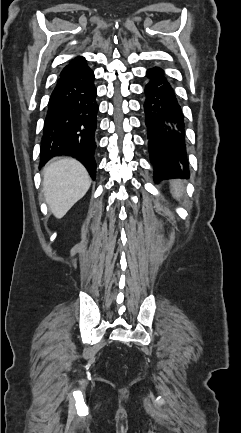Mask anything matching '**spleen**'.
Here are the masks:
<instances>
[{
  "mask_svg": "<svg viewBox=\"0 0 241 433\" xmlns=\"http://www.w3.org/2000/svg\"><path fill=\"white\" fill-rule=\"evenodd\" d=\"M172 187H173V191H172L173 196L176 198H180L184 188L183 183L180 181H174L172 183Z\"/></svg>",
  "mask_w": 241,
  "mask_h": 433,
  "instance_id": "1",
  "label": "spleen"
}]
</instances>
